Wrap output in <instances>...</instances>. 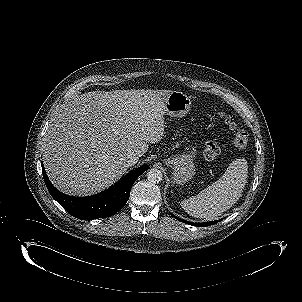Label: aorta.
Wrapping results in <instances>:
<instances>
[{"label":"aorta","mask_w":302,"mask_h":302,"mask_svg":"<svg viewBox=\"0 0 302 302\" xmlns=\"http://www.w3.org/2000/svg\"><path fill=\"white\" fill-rule=\"evenodd\" d=\"M147 180L151 183H159L163 179V174L161 170L157 168H151L146 174Z\"/></svg>","instance_id":"1"}]
</instances>
